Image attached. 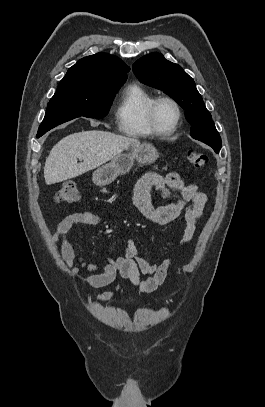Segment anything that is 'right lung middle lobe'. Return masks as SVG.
<instances>
[{"label":"right lung middle lobe","mask_w":265,"mask_h":407,"mask_svg":"<svg viewBox=\"0 0 265 407\" xmlns=\"http://www.w3.org/2000/svg\"><path fill=\"white\" fill-rule=\"evenodd\" d=\"M123 84L94 81L61 80L48 103L37 135L77 117L103 118L109 111L115 93Z\"/></svg>","instance_id":"right-lung-middle-lobe-1"}]
</instances>
